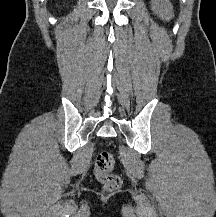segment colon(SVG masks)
Masks as SVG:
<instances>
[{
  "mask_svg": "<svg viewBox=\"0 0 216 217\" xmlns=\"http://www.w3.org/2000/svg\"><path fill=\"white\" fill-rule=\"evenodd\" d=\"M115 160L111 152H100L95 160L94 173L96 179L103 185L105 191H113L120 187L121 178L112 173Z\"/></svg>",
  "mask_w": 216,
  "mask_h": 217,
  "instance_id": "1",
  "label": "colon"
}]
</instances>
